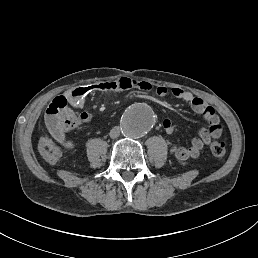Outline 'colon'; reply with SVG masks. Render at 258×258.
<instances>
[{"mask_svg": "<svg viewBox=\"0 0 258 258\" xmlns=\"http://www.w3.org/2000/svg\"><path fill=\"white\" fill-rule=\"evenodd\" d=\"M83 123V117L72 112H66L62 115V124L66 130H73ZM38 149L42 158L50 164H55L61 155L59 146L49 137L44 136L39 140ZM210 150L213 156L222 160L226 153V146L223 142L213 141L210 144Z\"/></svg>", "mask_w": 258, "mask_h": 258, "instance_id": "5ec220e1", "label": "colon"}]
</instances>
